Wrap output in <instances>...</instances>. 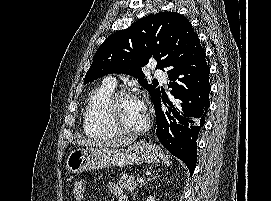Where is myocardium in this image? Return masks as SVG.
Segmentation results:
<instances>
[{
	"label": "myocardium",
	"mask_w": 271,
	"mask_h": 201,
	"mask_svg": "<svg viewBox=\"0 0 271 201\" xmlns=\"http://www.w3.org/2000/svg\"><path fill=\"white\" fill-rule=\"evenodd\" d=\"M126 98H135L136 97L128 92V91H118L112 94L110 99L107 102L106 105V114L107 117L114 127V129L118 132L120 135H139L144 133L145 131L148 130L150 127V117L147 115L145 122L138 128H129L121 123L119 120L117 113H116V108L118 103Z\"/></svg>",
	"instance_id": "obj_1"
}]
</instances>
